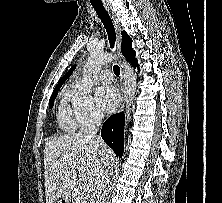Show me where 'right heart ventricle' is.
<instances>
[{"mask_svg":"<svg viewBox=\"0 0 222 203\" xmlns=\"http://www.w3.org/2000/svg\"><path fill=\"white\" fill-rule=\"evenodd\" d=\"M69 91L63 93V98L58 108L57 117L59 123L66 129L73 130L76 128L77 124L75 119L72 118L71 111L66 104V99L68 98Z\"/></svg>","mask_w":222,"mask_h":203,"instance_id":"e07e8e85","label":"right heart ventricle"}]
</instances>
